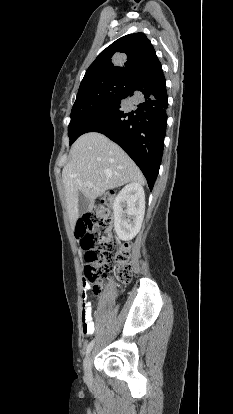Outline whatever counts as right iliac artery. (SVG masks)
Listing matches in <instances>:
<instances>
[{"label":"right iliac artery","mask_w":233,"mask_h":414,"mask_svg":"<svg viewBox=\"0 0 233 414\" xmlns=\"http://www.w3.org/2000/svg\"><path fill=\"white\" fill-rule=\"evenodd\" d=\"M94 340H92L89 344H88V346H87V348H86V355H88L89 353H90V351L92 350V348H93V345H94Z\"/></svg>","instance_id":"1"}]
</instances>
